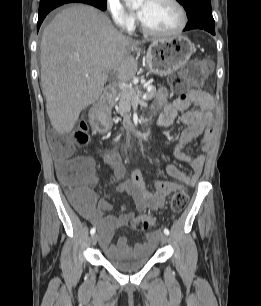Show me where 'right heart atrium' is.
Returning <instances> with one entry per match:
<instances>
[{"instance_id":"right-heart-atrium-1","label":"right heart atrium","mask_w":261,"mask_h":306,"mask_svg":"<svg viewBox=\"0 0 261 306\" xmlns=\"http://www.w3.org/2000/svg\"><path fill=\"white\" fill-rule=\"evenodd\" d=\"M107 9L116 24L122 30H131L134 26V16L126 10L120 0H106Z\"/></svg>"}]
</instances>
